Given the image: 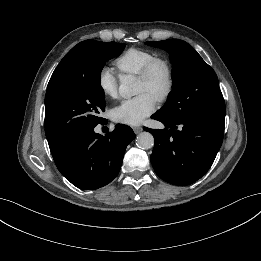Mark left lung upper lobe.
<instances>
[{
  "label": "left lung upper lobe",
  "mask_w": 261,
  "mask_h": 261,
  "mask_svg": "<svg viewBox=\"0 0 261 261\" xmlns=\"http://www.w3.org/2000/svg\"><path fill=\"white\" fill-rule=\"evenodd\" d=\"M170 54L173 85L165 105L157 112L179 120L209 112H225L223 95L214 70L185 41H149Z\"/></svg>",
  "instance_id": "left-lung-upper-lobe-1"
}]
</instances>
